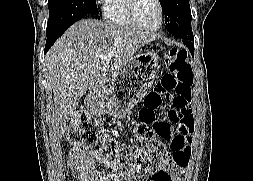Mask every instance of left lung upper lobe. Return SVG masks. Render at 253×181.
<instances>
[{
  "label": "left lung upper lobe",
  "mask_w": 253,
  "mask_h": 181,
  "mask_svg": "<svg viewBox=\"0 0 253 181\" xmlns=\"http://www.w3.org/2000/svg\"><path fill=\"white\" fill-rule=\"evenodd\" d=\"M166 16V29L179 37L193 40L189 0H160Z\"/></svg>",
  "instance_id": "left-lung-upper-lobe-1"
}]
</instances>
